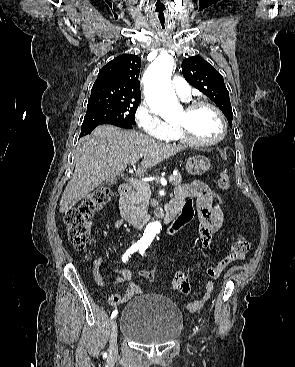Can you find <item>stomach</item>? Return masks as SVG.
Listing matches in <instances>:
<instances>
[{
  "mask_svg": "<svg viewBox=\"0 0 295 367\" xmlns=\"http://www.w3.org/2000/svg\"><path fill=\"white\" fill-rule=\"evenodd\" d=\"M210 168V161L207 157L196 155L190 157L186 162V170L192 175H201Z\"/></svg>",
  "mask_w": 295,
  "mask_h": 367,
  "instance_id": "stomach-1",
  "label": "stomach"
}]
</instances>
